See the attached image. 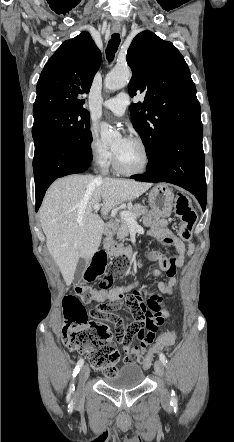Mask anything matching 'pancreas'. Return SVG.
<instances>
[{
	"instance_id": "obj_1",
	"label": "pancreas",
	"mask_w": 234,
	"mask_h": 442,
	"mask_svg": "<svg viewBox=\"0 0 234 442\" xmlns=\"http://www.w3.org/2000/svg\"><path fill=\"white\" fill-rule=\"evenodd\" d=\"M127 211L132 213L135 216V219L140 217L141 215H146L148 213L147 207L141 204H135L133 206H130L128 207ZM114 225L117 228V233H116L117 239H119L122 242L127 240L126 237L129 234V223L123 219H120L116 220ZM115 246H120V245H118L117 242L113 240L111 234H108L104 242V247L106 248V250L110 255L116 254Z\"/></svg>"
}]
</instances>
